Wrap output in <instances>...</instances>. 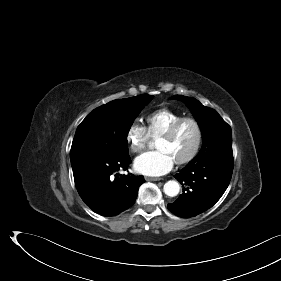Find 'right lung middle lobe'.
<instances>
[{
	"mask_svg": "<svg viewBox=\"0 0 281 281\" xmlns=\"http://www.w3.org/2000/svg\"><path fill=\"white\" fill-rule=\"evenodd\" d=\"M152 98V95H139L114 100L94 109L76 130L70 151L71 163L128 156L129 129Z\"/></svg>",
	"mask_w": 281,
	"mask_h": 281,
	"instance_id": "1",
	"label": "right lung middle lobe"
}]
</instances>
